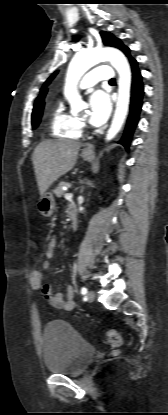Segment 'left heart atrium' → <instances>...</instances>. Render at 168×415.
Masks as SVG:
<instances>
[{"label": "left heart atrium", "instance_id": "39dd6f15", "mask_svg": "<svg viewBox=\"0 0 168 415\" xmlns=\"http://www.w3.org/2000/svg\"><path fill=\"white\" fill-rule=\"evenodd\" d=\"M111 107V100L106 92L94 91L90 96V123L94 126L103 125L109 118Z\"/></svg>", "mask_w": 168, "mask_h": 415}]
</instances>
